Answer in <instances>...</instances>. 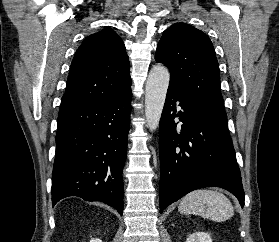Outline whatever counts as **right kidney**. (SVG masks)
Masks as SVG:
<instances>
[{
    "label": "right kidney",
    "instance_id": "right-kidney-1",
    "mask_svg": "<svg viewBox=\"0 0 279 242\" xmlns=\"http://www.w3.org/2000/svg\"><path fill=\"white\" fill-rule=\"evenodd\" d=\"M90 242H102V240H100V239H92Z\"/></svg>",
    "mask_w": 279,
    "mask_h": 242
}]
</instances>
